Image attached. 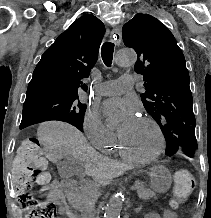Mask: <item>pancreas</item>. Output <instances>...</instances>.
<instances>
[{
	"label": "pancreas",
	"instance_id": "pancreas-1",
	"mask_svg": "<svg viewBox=\"0 0 211 218\" xmlns=\"http://www.w3.org/2000/svg\"><path fill=\"white\" fill-rule=\"evenodd\" d=\"M133 190H137L139 198H143V200H150V198H154L155 196L154 192L145 188L142 182H136ZM70 194L73 195L71 206L80 210L81 214L85 218H88L94 205L97 204V201L93 200L94 197L98 196L96 188H92V186H80V190H71Z\"/></svg>",
	"mask_w": 211,
	"mask_h": 218
}]
</instances>
